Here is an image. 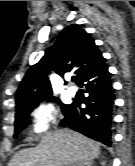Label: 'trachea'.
I'll return each mask as SVG.
<instances>
[{
  "instance_id": "1",
  "label": "trachea",
  "mask_w": 135,
  "mask_h": 166,
  "mask_svg": "<svg viewBox=\"0 0 135 166\" xmlns=\"http://www.w3.org/2000/svg\"><path fill=\"white\" fill-rule=\"evenodd\" d=\"M72 81H76V77L75 76L72 77Z\"/></svg>"
}]
</instances>
